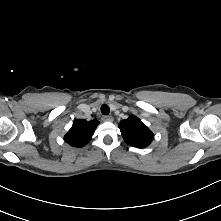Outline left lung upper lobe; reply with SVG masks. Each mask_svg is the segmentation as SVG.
Masks as SVG:
<instances>
[{
  "label": "left lung upper lobe",
  "mask_w": 221,
  "mask_h": 221,
  "mask_svg": "<svg viewBox=\"0 0 221 221\" xmlns=\"http://www.w3.org/2000/svg\"><path fill=\"white\" fill-rule=\"evenodd\" d=\"M118 127L125 142L137 148L148 146L154 138V135L149 128L134 115H131L126 120H122Z\"/></svg>",
  "instance_id": "obj_1"
}]
</instances>
